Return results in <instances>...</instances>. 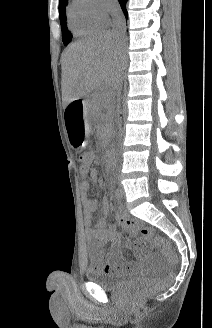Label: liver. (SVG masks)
Returning a JSON list of instances; mask_svg holds the SVG:
<instances>
[{
	"label": "liver",
	"mask_w": 212,
	"mask_h": 328,
	"mask_svg": "<svg viewBox=\"0 0 212 328\" xmlns=\"http://www.w3.org/2000/svg\"><path fill=\"white\" fill-rule=\"evenodd\" d=\"M122 40L101 31L68 46L62 55V99L71 103L96 89L113 92L122 70Z\"/></svg>",
	"instance_id": "obj_1"
}]
</instances>
